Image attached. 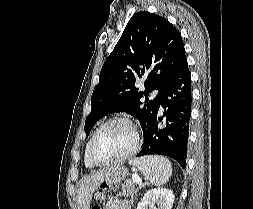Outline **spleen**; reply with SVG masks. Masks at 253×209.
<instances>
[{"label":"spleen","instance_id":"3e777b00","mask_svg":"<svg viewBox=\"0 0 253 209\" xmlns=\"http://www.w3.org/2000/svg\"><path fill=\"white\" fill-rule=\"evenodd\" d=\"M154 186L164 185L172 175L171 162L162 156H144L129 161Z\"/></svg>","mask_w":253,"mask_h":209}]
</instances>
